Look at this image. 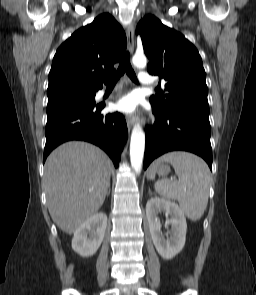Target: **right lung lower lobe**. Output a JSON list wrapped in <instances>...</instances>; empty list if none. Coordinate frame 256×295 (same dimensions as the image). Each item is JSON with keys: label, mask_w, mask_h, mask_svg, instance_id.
<instances>
[{"label": "right lung lower lobe", "mask_w": 256, "mask_h": 295, "mask_svg": "<svg viewBox=\"0 0 256 295\" xmlns=\"http://www.w3.org/2000/svg\"><path fill=\"white\" fill-rule=\"evenodd\" d=\"M73 97L49 98L47 105L46 145L43 162L58 145L69 140H84L102 148L119 164L120 153L127 140V125L122 114L101 115L105 104Z\"/></svg>", "instance_id": "98d812e1"}]
</instances>
